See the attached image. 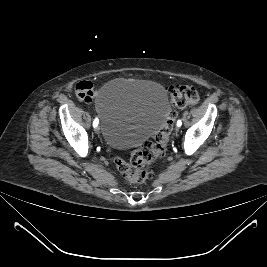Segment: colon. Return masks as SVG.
<instances>
[{
  "label": "colon",
  "mask_w": 267,
  "mask_h": 267,
  "mask_svg": "<svg viewBox=\"0 0 267 267\" xmlns=\"http://www.w3.org/2000/svg\"><path fill=\"white\" fill-rule=\"evenodd\" d=\"M169 92L171 103L177 108L193 106L199 101L198 91L191 85L171 87ZM176 117V111L171 109L164 122L155 132L152 141L144 147L133 150L129 161L120 156L115 157V166L122 174L124 181L141 183L152 176L149 168L156 164L165 154Z\"/></svg>",
  "instance_id": "obj_1"
}]
</instances>
